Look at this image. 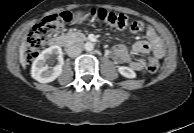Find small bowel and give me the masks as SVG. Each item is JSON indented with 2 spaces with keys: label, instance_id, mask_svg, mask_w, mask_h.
Instances as JSON below:
<instances>
[{
  "label": "small bowel",
  "instance_id": "c3829d8e",
  "mask_svg": "<svg viewBox=\"0 0 194 133\" xmlns=\"http://www.w3.org/2000/svg\"><path fill=\"white\" fill-rule=\"evenodd\" d=\"M131 30L133 32H144L145 40L135 42L132 46V51L146 55V58L133 60L128 47L124 44L114 46L111 51V57L118 63L128 65L134 71H142L147 68L151 60L157 61V59L163 57L165 52L164 43L153 27L141 22H134L131 25Z\"/></svg>",
  "mask_w": 194,
  "mask_h": 133
}]
</instances>
